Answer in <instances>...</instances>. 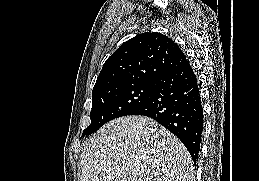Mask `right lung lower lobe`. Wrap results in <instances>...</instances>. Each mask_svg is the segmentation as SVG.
I'll list each match as a JSON object with an SVG mask.
<instances>
[{"label":"right lung lower lobe","mask_w":259,"mask_h":181,"mask_svg":"<svg viewBox=\"0 0 259 181\" xmlns=\"http://www.w3.org/2000/svg\"><path fill=\"white\" fill-rule=\"evenodd\" d=\"M154 84L149 99L130 115L156 120L183 142L196 161L203 131V108L190 63L186 60L159 77Z\"/></svg>","instance_id":"right-lung-lower-lobe-1"}]
</instances>
